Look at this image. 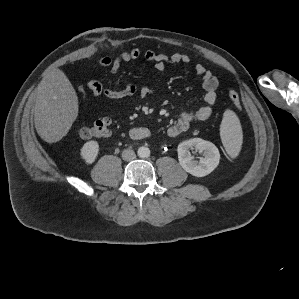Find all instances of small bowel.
I'll use <instances>...</instances> for the list:
<instances>
[{"label": "small bowel", "mask_w": 299, "mask_h": 299, "mask_svg": "<svg viewBox=\"0 0 299 299\" xmlns=\"http://www.w3.org/2000/svg\"><path fill=\"white\" fill-rule=\"evenodd\" d=\"M144 57L148 62L153 63L157 72L161 73L165 70L167 64H187L190 62V57L183 53H174L167 55L164 53H157L154 51H142L139 48H133L129 51L123 52L115 58L103 57L99 60V66L102 68L110 69L111 73H116L124 62L136 60L140 57ZM196 74L202 80L203 106L194 111H183L178 115V118L174 124H172L167 130V136L174 138L187 131L190 125L195 121L208 120L213 113L212 105L217 101V89L218 79L208 70L203 64H197L195 66ZM88 89L93 96H105L108 99L118 100L127 96L138 94L140 97H147L153 95L155 90L150 87H138L135 83L131 82L122 89L104 88L101 82L97 79L90 80L87 83ZM145 131L141 127H134L130 131V136L135 139H141L139 134Z\"/></svg>", "instance_id": "1"}]
</instances>
